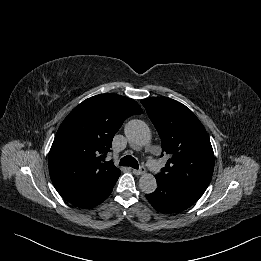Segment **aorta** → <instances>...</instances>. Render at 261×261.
I'll use <instances>...</instances> for the list:
<instances>
[{
  "instance_id": "1",
  "label": "aorta",
  "mask_w": 261,
  "mask_h": 261,
  "mask_svg": "<svg viewBox=\"0 0 261 261\" xmlns=\"http://www.w3.org/2000/svg\"><path fill=\"white\" fill-rule=\"evenodd\" d=\"M127 139L136 146H144L149 143L151 134L149 127L141 120H131L125 126ZM139 188L146 194L153 193L157 188L154 175L145 173L139 179Z\"/></svg>"
}]
</instances>
